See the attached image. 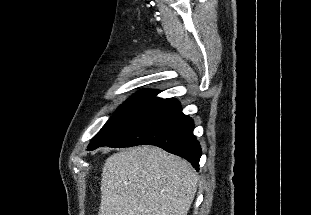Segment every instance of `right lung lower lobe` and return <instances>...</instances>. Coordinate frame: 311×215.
I'll use <instances>...</instances> for the list:
<instances>
[{
    "label": "right lung lower lobe",
    "instance_id": "right-lung-lower-lobe-1",
    "mask_svg": "<svg viewBox=\"0 0 311 215\" xmlns=\"http://www.w3.org/2000/svg\"><path fill=\"white\" fill-rule=\"evenodd\" d=\"M193 128V120L182 113L178 101L162 99L123 137L107 146L155 145L188 160L196 170H199L202 151L193 135Z\"/></svg>",
    "mask_w": 311,
    "mask_h": 215
}]
</instances>
